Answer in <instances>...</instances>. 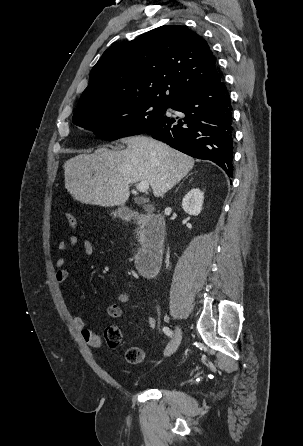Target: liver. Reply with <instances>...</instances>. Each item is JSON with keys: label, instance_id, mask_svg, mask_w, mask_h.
<instances>
[{"label": "liver", "instance_id": "6515ba94", "mask_svg": "<svg viewBox=\"0 0 303 446\" xmlns=\"http://www.w3.org/2000/svg\"><path fill=\"white\" fill-rule=\"evenodd\" d=\"M122 151L100 147L64 163L65 187L74 200L104 207L128 200L129 185L147 181L155 197L163 195L188 174L194 159L146 136L122 140Z\"/></svg>", "mask_w": 303, "mask_h": 446}]
</instances>
